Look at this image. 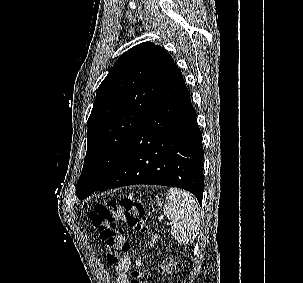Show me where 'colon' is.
Here are the masks:
<instances>
[{"instance_id": "obj_1", "label": "colon", "mask_w": 303, "mask_h": 283, "mask_svg": "<svg viewBox=\"0 0 303 283\" xmlns=\"http://www.w3.org/2000/svg\"><path fill=\"white\" fill-rule=\"evenodd\" d=\"M90 220L104 244L110 262H117L128 247L127 237L120 225L136 232H147L151 242L156 240V236L150 232L143 205L132 199L124 198L118 202L96 204L90 212ZM130 283L148 281L141 270L134 269Z\"/></svg>"}]
</instances>
